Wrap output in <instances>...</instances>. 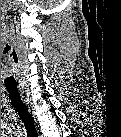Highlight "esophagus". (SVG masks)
<instances>
[{
    "label": "esophagus",
    "instance_id": "34e87169",
    "mask_svg": "<svg viewBox=\"0 0 121 137\" xmlns=\"http://www.w3.org/2000/svg\"><path fill=\"white\" fill-rule=\"evenodd\" d=\"M21 97L24 99L25 103L28 105L30 109L31 108L30 101L28 100V97L24 94V91L21 92Z\"/></svg>",
    "mask_w": 121,
    "mask_h": 137
}]
</instances>
